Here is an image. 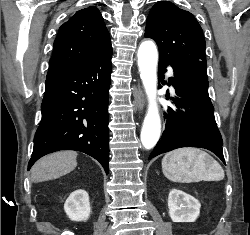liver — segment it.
I'll list each match as a JSON object with an SVG mask.
<instances>
[{
    "label": "liver",
    "mask_w": 250,
    "mask_h": 235,
    "mask_svg": "<svg viewBox=\"0 0 250 235\" xmlns=\"http://www.w3.org/2000/svg\"><path fill=\"white\" fill-rule=\"evenodd\" d=\"M77 153L61 151L50 154L38 160L31 169L33 182L52 180L66 175L77 166Z\"/></svg>",
    "instance_id": "1"
}]
</instances>
